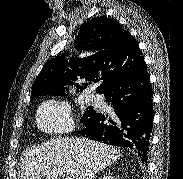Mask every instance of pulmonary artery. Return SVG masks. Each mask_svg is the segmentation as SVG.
I'll use <instances>...</instances> for the list:
<instances>
[{"label": "pulmonary artery", "mask_w": 183, "mask_h": 179, "mask_svg": "<svg viewBox=\"0 0 183 179\" xmlns=\"http://www.w3.org/2000/svg\"><path fill=\"white\" fill-rule=\"evenodd\" d=\"M89 99L93 103H98V104L102 103V97L100 95H98V94H94V93L90 94L89 95Z\"/></svg>", "instance_id": "e3ab8cb5"}]
</instances>
